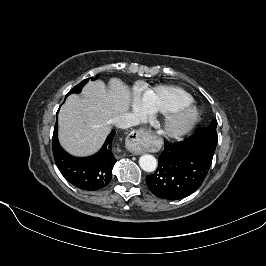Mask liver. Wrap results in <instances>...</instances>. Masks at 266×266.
Returning a JSON list of instances; mask_svg holds the SVG:
<instances>
[{
	"mask_svg": "<svg viewBox=\"0 0 266 266\" xmlns=\"http://www.w3.org/2000/svg\"><path fill=\"white\" fill-rule=\"evenodd\" d=\"M130 103V89L120 79H110L108 88L100 80L88 82L81 96H69L60 109L61 145L76 156L93 154L111 130V119L127 112Z\"/></svg>",
	"mask_w": 266,
	"mask_h": 266,
	"instance_id": "1",
	"label": "liver"
}]
</instances>
